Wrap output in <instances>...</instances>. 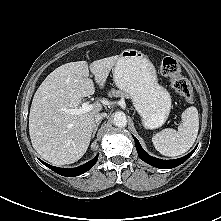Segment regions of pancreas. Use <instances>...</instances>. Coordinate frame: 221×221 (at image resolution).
<instances>
[{
  "label": "pancreas",
  "instance_id": "pancreas-1",
  "mask_svg": "<svg viewBox=\"0 0 221 221\" xmlns=\"http://www.w3.org/2000/svg\"><path fill=\"white\" fill-rule=\"evenodd\" d=\"M110 97H126L127 95L122 92V91H119V90H112L109 94H108Z\"/></svg>",
  "mask_w": 221,
  "mask_h": 221
}]
</instances>
